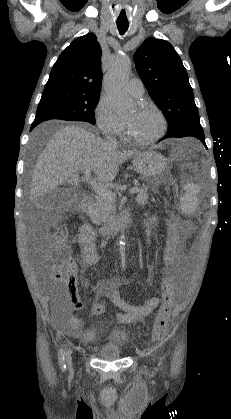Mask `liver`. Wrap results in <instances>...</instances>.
I'll return each mask as SVG.
<instances>
[{"mask_svg":"<svg viewBox=\"0 0 231 419\" xmlns=\"http://www.w3.org/2000/svg\"><path fill=\"white\" fill-rule=\"evenodd\" d=\"M141 152L119 151L82 126L56 131L39 156L32 175L30 200L46 195L60 184L77 186L79 173L91 170L101 184L112 182L119 165Z\"/></svg>","mask_w":231,"mask_h":419,"instance_id":"1","label":"liver"}]
</instances>
